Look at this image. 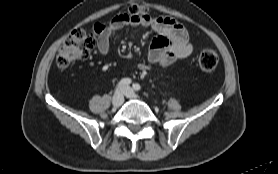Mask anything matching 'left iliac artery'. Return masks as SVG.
Listing matches in <instances>:
<instances>
[{
  "label": "left iliac artery",
  "mask_w": 278,
  "mask_h": 174,
  "mask_svg": "<svg viewBox=\"0 0 278 174\" xmlns=\"http://www.w3.org/2000/svg\"><path fill=\"white\" fill-rule=\"evenodd\" d=\"M133 89L135 91H139L141 89V86L139 84L135 83V84H133Z\"/></svg>",
  "instance_id": "44dca946"
}]
</instances>
